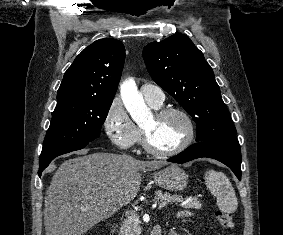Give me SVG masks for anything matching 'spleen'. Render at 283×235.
Returning a JSON list of instances; mask_svg holds the SVG:
<instances>
[{
  "instance_id": "spleen-1",
  "label": "spleen",
  "mask_w": 283,
  "mask_h": 235,
  "mask_svg": "<svg viewBox=\"0 0 283 235\" xmlns=\"http://www.w3.org/2000/svg\"><path fill=\"white\" fill-rule=\"evenodd\" d=\"M205 185L216 196L217 206L224 213H234L238 207L237 197L227 176L215 170L205 173Z\"/></svg>"
}]
</instances>
